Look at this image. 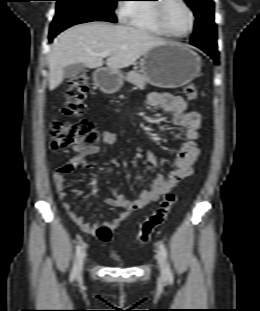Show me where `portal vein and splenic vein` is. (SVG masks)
<instances>
[{
  "mask_svg": "<svg viewBox=\"0 0 260 311\" xmlns=\"http://www.w3.org/2000/svg\"><path fill=\"white\" fill-rule=\"evenodd\" d=\"M96 55L99 56V57L104 58V57H109L110 53L109 52H102V53H99V54H96Z\"/></svg>",
  "mask_w": 260,
  "mask_h": 311,
  "instance_id": "obj_1",
  "label": "portal vein and splenic vein"
}]
</instances>
